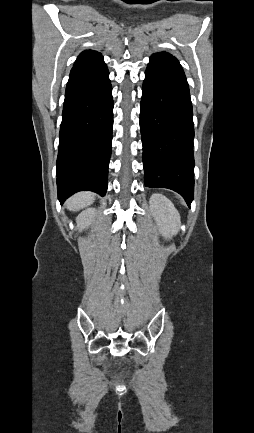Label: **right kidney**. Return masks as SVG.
I'll return each instance as SVG.
<instances>
[{"mask_svg": "<svg viewBox=\"0 0 254 433\" xmlns=\"http://www.w3.org/2000/svg\"><path fill=\"white\" fill-rule=\"evenodd\" d=\"M95 218V210L93 209H88L84 212H82L77 218H76V222H77V227L82 230L86 227H88L94 220Z\"/></svg>", "mask_w": 254, "mask_h": 433, "instance_id": "1", "label": "right kidney"}]
</instances>
